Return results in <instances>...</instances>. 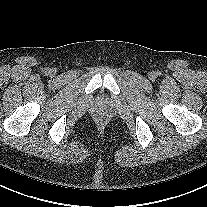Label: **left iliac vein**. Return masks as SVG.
<instances>
[{
    "label": "left iliac vein",
    "mask_w": 207,
    "mask_h": 207,
    "mask_svg": "<svg viewBox=\"0 0 207 207\" xmlns=\"http://www.w3.org/2000/svg\"><path fill=\"white\" fill-rule=\"evenodd\" d=\"M155 76H156V75H155V73H154V72L149 73V78H150V79H154V78H155Z\"/></svg>",
    "instance_id": "left-iliac-vein-1"
}]
</instances>
